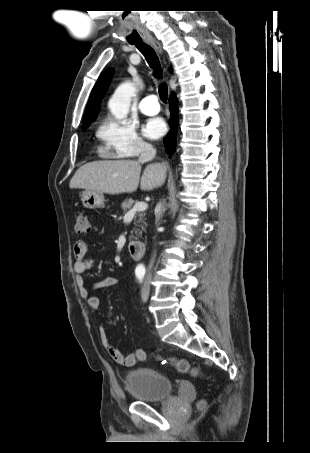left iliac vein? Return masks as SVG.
Instances as JSON below:
<instances>
[{
  "label": "left iliac vein",
  "mask_w": 310,
  "mask_h": 453,
  "mask_svg": "<svg viewBox=\"0 0 310 453\" xmlns=\"http://www.w3.org/2000/svg\"><path fill=\"white\" fill-rule=\"evenodd\" d=\"M149 293H150L149 284H148V282H146L142 288V293H141V298H142L143 302L147 301V299L149 297Z\"/></svg>",
  "instance_id": "left-iliac-vein-1"
}]
</instances>
